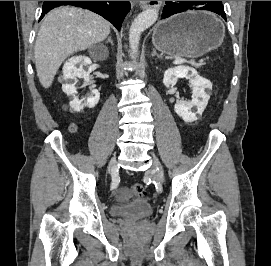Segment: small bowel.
Masks as SVG:
<instances>
[{
  "instance_id": "1",
  "label": "small bowel",
  "mask_w": 271,
  "mask_h": 266,
  "mask_svg": "<svg viewBox=\"0 0 271 266\" xmlns=\"http://www.w3.org/2000/svg\"><path fill=\"white\" fill-rule=\"evenodd\" d=\"M127 196H128V193H127L126 190H121V191H119V193H118V198H119V199H125Z\"/></svg>"
}]
</instances>
